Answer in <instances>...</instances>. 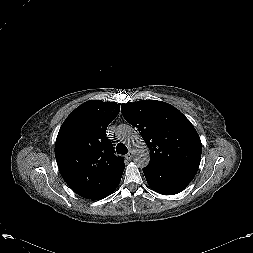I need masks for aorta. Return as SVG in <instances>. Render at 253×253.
I'll list each match as a JSON object with an SVG mask.
<instances>
[{
    "label": "aorta",
    "instance_id": "obj_1",
    "mask_svg": "<svg viewBox=\"0 0 253 253\" xmlns=\"http://www.w3.org/2000/svg\"><path fill=\"white\" fill-rule=\"evenodd\" d=\"M118 140L133 148L134 163L137 167H146L150 161V152L140 134L128 124H121L116 129Z\"/></svg>",
    "mask_w": 253,
    "mask_h": 253
}]
</instances>
